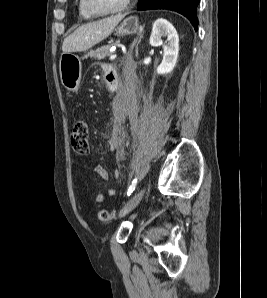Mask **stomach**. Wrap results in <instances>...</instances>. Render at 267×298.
<instances>
[{"label":"stomach","instance_id":"stomach-1","mask_svg":"<svg viewBox=\"0 0 267 298\" xmlns=\"http://www.w3.org/2000/svg\"><path fill=\"white\" fill-rule=\"evenodd\" d=\"M138 17L130 16L115 29V35L125 36L136 34L141 30ZM60 77L64 87L73 92H77L81 79L80 59L70 53H63L60 58Z\"/></svg>","mask_w":267,"mask_h":298}]
</instances>
